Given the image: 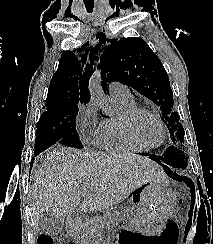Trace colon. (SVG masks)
Listing matches in <instances>:
<instances>
[{
	"instance_id": "colon-1",
	"label": "colon",
	"mask_w": 213,
	"mask_h": 244,
	"mask_svg": "<svg viewBox=\"0 0 213 244\" xmlns=\"http://www.w3.org/2000/svg\"><path fill=\"white\" fill-rule=\"evenodd\" d=\"M38 244H53V239L51 236L43 235L39 238Z\"/></svg>"
}]
</instances>
